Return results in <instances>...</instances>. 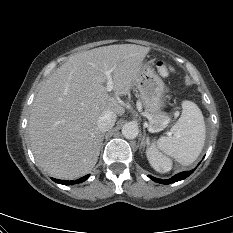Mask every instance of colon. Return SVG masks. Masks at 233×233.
I'll list each match as a JSON object with an SVG mask.
<instances>
[{"instance_id": "1", "label": "colon", "mask_w": 233, "mask_h": 233, "mask_svg": "<svg viewBox=\"0 0 233 233\" xmlns=\"http://www.w3.org/2000/svg\"><path fill=\"white\" fill-rule=\"evenodd\" d=\"M157 69L160 75L163 77H168L173 72V69L162 60H159L157 62ZM146 152L149 161L151 162L153 167L159 172L165 173L169 172L172 169V160L165 156L154 143H152L147 148Z\"/></svg>"}]
</instances>
